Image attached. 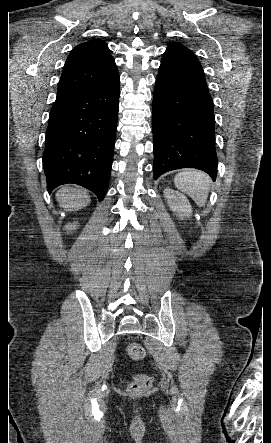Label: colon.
I'll return each mask as SVG.
<instances>
[{"label": "colon", "mask_w": 271, "mask_h": 443, "mask_svg": "<svg viewBox=\"0 0 271 443\" xmlns=\"http://www.w3.org/2000/svg\"><path fill=\"white\" fill-rule=\"evenodd\" d=\"M126 354L133 360H141L145 356L144 348L136 342H131L126 347ZM151 386V379L146 374H137L133 377L128 387L131 395H139Z\"/></svg>", "instance_id": "colon-1"}]
</instances>
